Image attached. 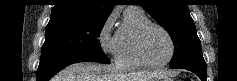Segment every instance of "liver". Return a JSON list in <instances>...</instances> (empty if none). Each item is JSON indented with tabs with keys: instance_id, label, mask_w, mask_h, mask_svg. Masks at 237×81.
Listing matches in <instances>:
<instances>
[{
	"instance_id": "6515ba94",
	"label": "liver",
	"mask_w": 237,
	"mask_h": 81,
	"mask_svg": "<svg viewBox=\"0 0 237 81\" xmlns=\"http://www.w3.org/2000/svg\"><path fill=\"white\" fill-rule=\"evenodd\" d=\"M164 71L124 72L112 65L79 62L62 70L54 81H151Z\"/></svg>"
}]
</instances>
